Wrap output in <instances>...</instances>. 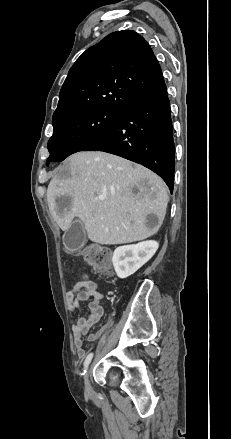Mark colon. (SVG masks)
I'll list each match as a JSON object with an SVG mask.
<instances>
[{
	"mask_svg": "<svg viewBox=\"0 0 231 439\" xmlns=\"http://www.w3.org/2000/svg\"><path fill=\"white\" fill-rule=\"evenodd\" d=\"M82 255L85 261L97 272L102 274L110 273V253L106 248L98 245H87L82 249Z\"/></svg>",
	"mask_w": 231,
	"mask_h": 439,
	"instance_id": "obj_1",
	"label": "colon"
}]
</instances>
